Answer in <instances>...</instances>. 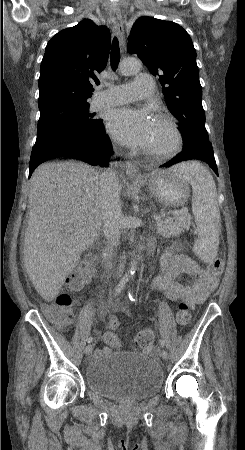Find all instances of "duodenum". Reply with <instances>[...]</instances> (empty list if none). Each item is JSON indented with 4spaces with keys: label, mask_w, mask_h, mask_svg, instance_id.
<instances>
[{
    "label": "duodenum",
    "mask_w": 245,
    "mask_h": 450,
    "mask_svg": "<svg viewBox=\"0 0 245 450\" xmlns=\"http://www.w3.org/2000/svg\"><path fill=\"white\" fill-rule=\"evenodd\" d=\"M103 264L111 271L118 272L121 269V263L115 258L112 244H108L102 256Z\"/></svg>",
    "instance_id": "obj_1"
}]
</instances>
